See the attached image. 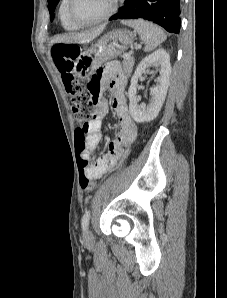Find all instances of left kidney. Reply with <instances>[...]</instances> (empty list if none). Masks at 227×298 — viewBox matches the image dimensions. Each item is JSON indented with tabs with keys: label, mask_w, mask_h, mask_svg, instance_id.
<instances>
[{
	"label": "left kidney",
	"mask_w": 227,
	"mask_h": 298,
	"mask_svg": "<svg viewBox=\"0 0 227 298\" xmlns=\"http://www.w3.org/2000/svg\"><path fill=\"white\" fill-rule=\"evenodd\" d=\"M151 66L159 68V77L157 84L151 89V100L147 106H139L137 103V84L142 73ZM171 73L170 57L164 49H158L145 57L138 65L134 75L131 78V85L128 90L130 100L129 111L132 118L138 122L153 120L161 110L165 101L169 86Z\"/></svg>",
	"instance_id": "5707ae66"
}]
</instances>
